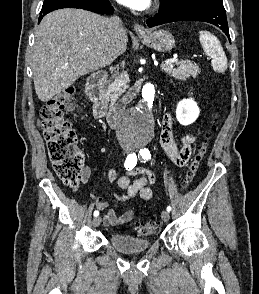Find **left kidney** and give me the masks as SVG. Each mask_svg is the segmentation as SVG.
Returning <instances> with one entry per match:
<instances>
[{
  "instance_id": "1",
  "label": "left kidney",
  "mask_w": 259,
  "mask_h": 294,
  "mask_svg": "<svg viewBox=\"0 0 259 294\" xmlns=\"http://www.w3.org/2000/svg\"><path fill=\"white\" fill-rule=\"evenodd\" d=\"M200 113L197 103L192 99H183L176 108V118L181 125L187 126L195 122Z\"/></svg>"
}]
</instances>
